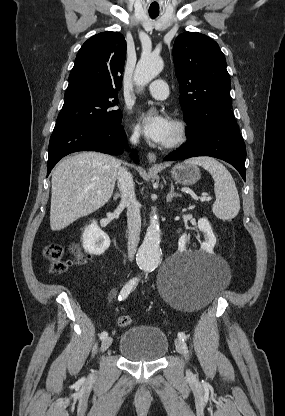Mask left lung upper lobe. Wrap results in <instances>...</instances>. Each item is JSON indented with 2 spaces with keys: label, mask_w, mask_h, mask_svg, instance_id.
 I'll use <instances>...</instances> for the list:
<instances>
[{
  "label": "left lung upper lobe",
  "mask_w": 285,
  "mask_h": 416,
  "mask_svg": "<svg viewBox=\"0 0 285 416\" xmlns=\"http://www.w3.org/2000/svg\"><path fill=\"white\" fill-rule=\"evenodd\" d=\"M173 60L187 137L218 123L235 122L230 77L218 44L198 32L182 33L174 42Z\"/></svg>",
  "instance_id": "5c2ea615"
}]
</instances>
